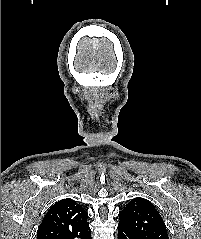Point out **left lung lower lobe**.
Masks as SVG:
<instances>
[{
  "mask_svg": "<svg viewBox=\"0 0 201 239\" xmlns=\"http://www.w3.org/2000/svg\"><path fill=\"white\" fill-rule=\"evenodd\" d=\"M118 239H141V238L128 228L118 225Z\"/></svg>",
  "mask_w": 201,
  "mask_h": 239,
  "instance_id": "obj_1",
  "label": "left lung lower lobe"
}]
</instances>
